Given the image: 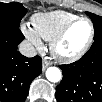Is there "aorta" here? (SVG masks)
I'll return each mask as SVG.
<instances>
[{
	"mask_svg": "<svg viewBox=\"0 0 102 102\" xmlns=\"http://www.w3.org/2000/svg\"><path fill=\"white\" fill-rule=\"evenodd\" d=\"M46 78L53 83L59 82L62 78V73L57 67H49L46 70Z\"/></svg>",
	"mask_w": 102,
	"mask_h": 102,
	"instance_id": "1",
	"label": "aorta"
}]
</instances>
